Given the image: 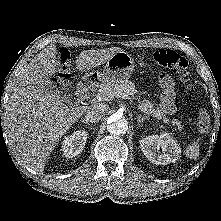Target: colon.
Returning a JSON list of instances; mask_svg holds the SVG:
<instances>
[{
  "label": "colon",
  "instance_id": "colon-1",
  "mask_svg": "<svg viewBox=\"0 0 221 221\" xmlns=\"http://www.w3.org/2000/svg\"><path fill=\"white\" fill-rule=\"evenodd\" d=\"M154 60L159 66L177 70L179 79L182 84L186 88L191 87V75L188 70V62L183 56L171 49H160L154 53ZM69 71L70 53L67 49H62L59 52L57 77L66 78V76L69 74ZM159 80L163 92L173 91V81L167 74H161ZM210 126L211 119L209 113L206 110L200 111L197 123L198 131L202 134H205L210 130Z\"/></svg>",
  "mask_w": 221,
  "mask_h": 221
}]
</instances>
